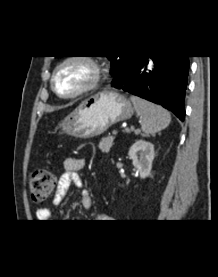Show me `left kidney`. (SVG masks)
I'll list each match as a JSON object with an SVG mask.
<instances>
[{
    "instance_id": "1",
    "label": "left kidney",
    "mask_w": 218,
    "mask_h": 277,
    "mask_svg": "<svg viewBox=\"0 0 218 277\" xmlns=\"http://www.w3.org/2000/svg\"><path fill=\"white\" fill-rule=\"evenodd\" d=\"M128 155L133 161V166L140 173L142 179L148 177L154 159V145L144 140L136 141L129 149Z\"/></svg>"
}]
</instances>
